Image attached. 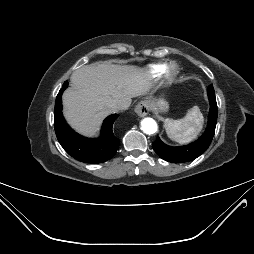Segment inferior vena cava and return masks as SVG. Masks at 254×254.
<instances>
[{
	"label": "inferior vena cava",
	"mask_w": 254,
	"mask_h": 254,
	"mask_svg": "<svg viewBox=\"0 0 254 254\" xmlns=\"http://www.w3.org/2000/svg\"><path fill=\"white\" fill-rule=\"evenodd\" d=\"M130 106L128 102H118L112 105L114 111L126 110Z\"/></svg>",
	"instance_id": "inferior-vena-cava-1"
}]
</instances>
